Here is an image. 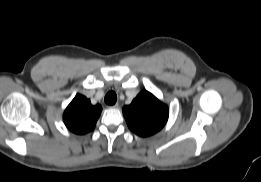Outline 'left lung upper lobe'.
Masks as SVG:
<instances>
[{
    "label": "left lung upper lobe",
    "mask_w": 261,
    "mask_h": 182,
    "mask_svg": "<svg viewBox=\"0 0 261 182\" xmlns=\"http://www.w3.org/2000/svg\"><path fill=\"white\" fill-rule=\"evenodd\" d=\"M123 115L131 131L141 137L158 132L167 122L168 107L148 91H142L123 108Z\"/></svg>",
    "instance_id": "5c2ea615"
}]
</instances>
